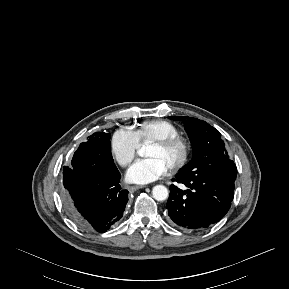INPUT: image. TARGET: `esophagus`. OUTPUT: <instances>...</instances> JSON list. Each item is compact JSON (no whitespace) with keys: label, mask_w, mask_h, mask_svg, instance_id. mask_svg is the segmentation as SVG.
I'll list each match as a JSON object with an SVG mask.
<instances>
[{"label":"esophagus","mask_w":289,"mask_h":289,"mask_svg":"<svg viewBox=\"0 0 289 289\" xmlns=\"http://www.w3.org/2000/svg\"><path fill=\"white\" fill-rule=\"evenodd\" d=\"M143 186H140V185H132V186H129L128 189L130 192H134L136 191L137 189H140L142 188Z\"/></svg>","instance_id":"esophagus-1"}]
</instances>
